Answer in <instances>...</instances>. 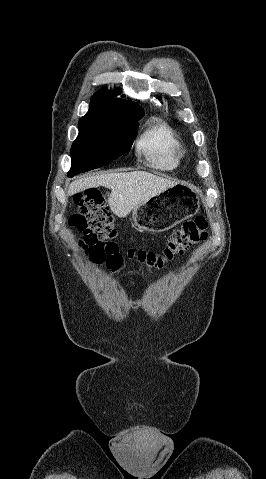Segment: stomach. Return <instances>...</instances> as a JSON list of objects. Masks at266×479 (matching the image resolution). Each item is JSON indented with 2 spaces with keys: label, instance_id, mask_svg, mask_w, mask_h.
Returning a JSON list of instances; mask_svg holds the SVG:
<instances>
[{
  "label": "stomach",
  "instance_id": "1",
  "mask_svg": "<svg viewBox=\"0 0 266 479\" xmlns=\"http://www.w3.org/2000/svg\"><path fill=\"white\" fill-rule=\"evenodd\" d=\"M198 207V189L177 183L133 209L132 218L143 231L163 232L192 217Z\"/></svg>",
  "mask_w": 266,
  "mask_h": 479
}]
</instances>
